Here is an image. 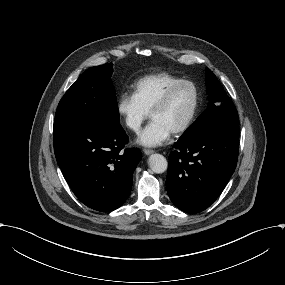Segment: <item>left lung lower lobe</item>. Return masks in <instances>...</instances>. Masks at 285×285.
<instances>
[{"instance_id":"1","label":"left lung lower lobe","mask_w":285,"mask_h":285,"mask_svg":"<svg viewBox=\"0 0 285 285\" xmlns=\"http://www.w3.org/2000/svg\"><path fill=\"white\" fill-rule=\"evenodd\" d=\"M238 117L217 121L187 140L169 156L167 193L188 213L208 208L223 191L237 165Z\"/></svg>"}]
</instances>
